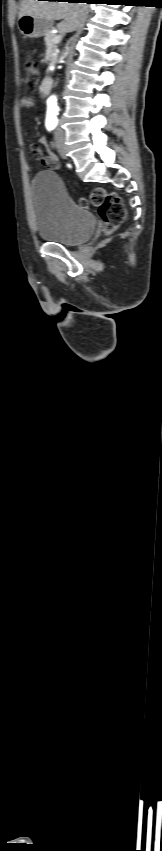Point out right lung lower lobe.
<instances>
[{"label": "right lung lower lobe", "mask_w": 162, "mask_h": 851, "mask_svg": "<svg viewBox=\"0 0 162 851\" xmlns=\"http://www.w3.org/2000/svg\"><path fill=\"white\" fill-rule=\"evenodd\" d=\"M49 1H60V0H49ZM68 2H85V3H99L100 0H65Z\"/></svg>", "instance_id": "98d812e1"}]
</instances>
